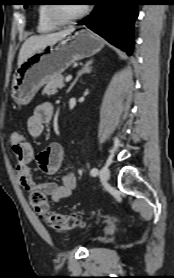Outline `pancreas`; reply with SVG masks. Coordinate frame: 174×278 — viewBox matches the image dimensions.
<instances>
[{"instance_id":"pancreas-1","label":"pancreas","mask_w":174,"mask_h":278,"mask_svg":"<svg viewBox=\"0 0 174 278\" xmlns=\"http://www.w3.org/2000/svg\"><path fill=\"white\" fill-rule=\"evenodd\" d=\"M63 81V75H57L56 77L52 78L44 87L43 94L47 96L56 94L58 89H62L64 87Z\"/></svg>"}]
</instances>
